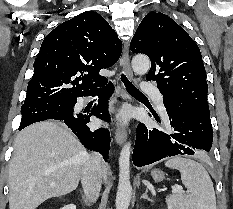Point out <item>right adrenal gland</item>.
<instances>
[{"instance_id": "right-adrenal-gland-1", "label": "right adrenal gland", "mask_w": 233, "mask_h": 209, "mask_svg": "<svg viewBox=\"0 0 233 209\" xmlns=\"http://www.w3.org/2000/svg\"><path fill=\"white\" fill-rule=\"evenodd\" d=\"M81 195H82V199H83V201L85 202V204L90 205L88 199H87L86 196L82 193V191H81Z\"/></svg>"}]
</instances>
